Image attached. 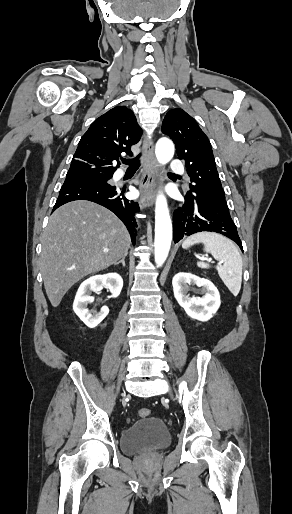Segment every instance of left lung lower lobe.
<instances>
[{
    "label": "left lung lower lobe",
    "mask_w": 292,
    "mask_h": 514,
    "mask_svg": "<svg viewBox=\"0 0 292 514\" xmlns=\"http://www.w3.org/2000/svg\"><path fill=\"white\" fill-rule=\"evenodd\" d=\"M201 231L223 234L235 241L243 251L226 201H205L199 196L186 194L185 203L173 214L174 242Z\"/></svg>",
    "instance_id": "0a47b994"
}]
</instances>
